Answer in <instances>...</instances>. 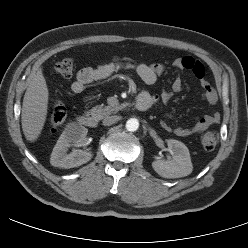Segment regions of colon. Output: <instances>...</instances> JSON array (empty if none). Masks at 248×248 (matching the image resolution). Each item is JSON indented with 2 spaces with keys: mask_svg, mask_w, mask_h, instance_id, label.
Listing matches in <instances>:
<instances>
[{
  "mask_svg": "<svg viewBox=\"0 0 248 248\" xmlns=\"http://www.w3.org/2000/svg\"><path fill=\"white\" fill-rule=\"evenodd\" d=\"M117 62L121 63H135L130 58H116ZM75 68L74 61L71 58H65L59 61L55 67L54 71L56 75L62 78H69L73 75ZM67 109L62 103H56L52 107L50 114V126L52 129L59 128L66 120ZM201 145L205 150H213L219 140V134L216 131H206L201 135Z\"/></svg>",
  "mask_w": 248,
  "mask_h": 248,
  "instance_id": "colon-1",
  "label": "colon"
}]
</instances>
